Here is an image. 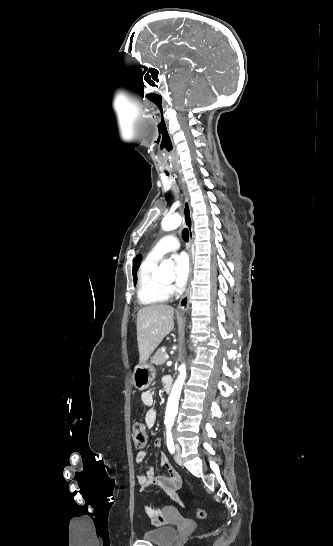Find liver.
I'll list each match as a JSON object with an SVG mask.
<instances>
[{
	"label": "liver",
	"instance_id": "6515ba94",
	"mask_svg": "<svg viewBox=\"0 0 333 546\" xmlns=\"http://www.w3.org/2000/svg\"><path fill=\"white\" fill-rule=\"evenodd\" d=\"M174 309L169 305H151L137 313V342L140 363H146L164 337L174 329Z\"/></svg>",
	"mask_w": 333,
	"mask_h": 546
}]
</instances>
